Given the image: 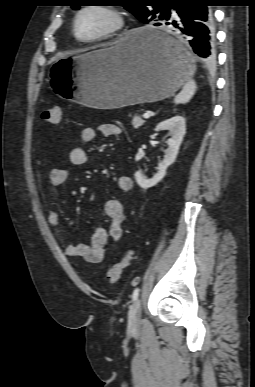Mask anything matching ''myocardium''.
Listing matches in <instances>:
<instances>
[{"label": "myocardium", "instance_id": "myocardium-1", "mask_svg": "<svg viewBox=\"0 0 255 387\" xmlns=\"http://www.w3.org/2000/svg\"><path fill=\"white\" fill-rule=\"evenodd\" d=\"M91 10L103 12L109 15L112 20V23L107 29H105L103 32L95 36L82 37L78 31V21L85 12L91 11ZM125 24H126L125 15L117 7L112 5L92 4V5L82 6L77 10L73 18L72 29H73V34L77 40L83 43H97V42L111 39L116 35H118L119 33H121L125 27Z\"/></svg>", "mask_w": 255, "mask_h": 387}]
</instances>
